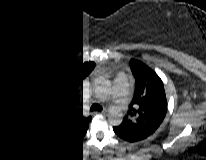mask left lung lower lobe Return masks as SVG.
<instances>
[{
  "instance_id": "left-lung-lower-lobe-1",
  "label": "left lung lower lobe",
  "mask_w": 206,
  "mask_h": 160,
  "mask_svg": "<svg viewBox=\"0 0 206 160\" xmlns=\"http://www.w3.org/2000/svg\"><path fill=\"white\" fill-rule=\"evenodd\" d=\"M115 132L122 138H124L125 140L128 141H135V140H139V139H143L145 137L132 133L128 130L122 129V128H114Z\"/></svg>"
}]
</instances>
